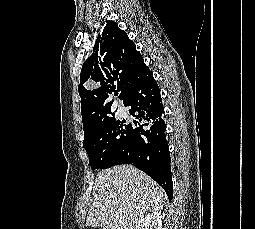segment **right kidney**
I'll use <instances>...</instances> for the list:
<instances>
[{
  "label": "right kidney",
  "mask_w": 255,
  "mask_h": 229,
  "mask_svg": "<svg viewBox=\"0 0 255 229\" xmlns=\"http://www.w3.org/2000/svg\"><path fill=\"white\" fill-rule=\"evenodd\" d=\"M135 229H162V215L160 210L149 213L142 218Z\"/></svg>",
  "instance_id": "obj_1"
}]
</instances>
